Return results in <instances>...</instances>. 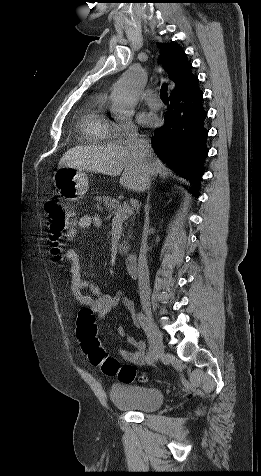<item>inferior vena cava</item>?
<instances>
[{"instance_id": "inferior-vena-cava-1", "label": "inferior vena cava", "mask_w": 261, "mask_h": 476, "mask_svg": "<svg viewBox=\"0 0 261 476\" xmlns=\"http://www.w3.org/2000/svg\"><path fill=\"white\" fill-rule=\"evenodd\" d=\"M126 146L132 150V153L143 163V169L145 174V187L144 190L148 189L151 183L150 175L153 174L152 164H151V144L147 139H142L138 137L136 132H132L128 135ZM146 219L144 224V231L142 237V243L138 258V288L140 295V302L143 307L150 306V281H149V269L147 265V238L149 232V207L145 206Z\"/></svg>"}]
</instances>
